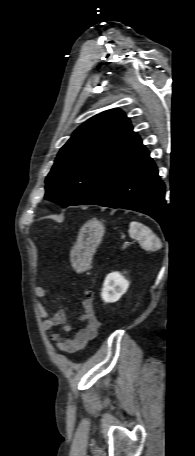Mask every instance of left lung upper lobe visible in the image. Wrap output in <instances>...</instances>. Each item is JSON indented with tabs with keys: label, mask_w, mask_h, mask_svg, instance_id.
I'll list each match as a JSON object with an SVG mask.
<instances>
[{
	"label": "left lung upper lobe",
	"mask_w": 195,
	"mask_h": 456,
	"mask_svg": "<svg viewBox=\"0 0 195 456\" xmlns=\"http://www.w3.org/2000/svg\"><path fill=\"white\" fill-rule=\"evenodd\" d=\"M136 137L120 109L90 118L58 153L45 180V198L63 207L83 204L103 185Z\"/></svg>",
	"instance_id": "left-lung-upper-lobe-1"
}]
</instances>
